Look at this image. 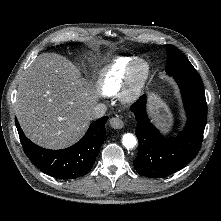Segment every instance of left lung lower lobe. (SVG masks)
I'll list each match as a JSON object with an SVG mask.
<instances>
[{"instance_id": "0a47b994", "label": "left lung lower lobe", "mask_w": 221, "mask_h": 221, "mask_svg": "<svg viewBox=\"0 0 221 221\" xmlns=\"http://www.w3.org/2000/svg\"><path fill=\"white\" fill-rule=\"evenodd\" d=\"M173 76L180 87L188 117L186 127L176 138L166 139L149 121L146 96L130 107L137 121L135 134L139 141L133 165L142 176L160 178L178 171L196 157L202 144L207 105L201 77L196 70Z\"/></svg>"}]
</instances>
